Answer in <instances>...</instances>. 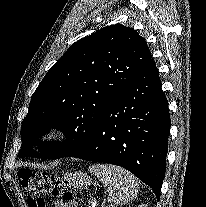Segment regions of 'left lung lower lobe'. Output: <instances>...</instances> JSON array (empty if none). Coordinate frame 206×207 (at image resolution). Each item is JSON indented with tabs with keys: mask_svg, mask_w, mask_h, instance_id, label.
Wrapping results in <instances>:
<instances>
[{
	"mask_svg": "<svg viewBox=\"0 0 206 207\" xmlns=\"http://www.w3.org/2000/svg\"><path fill=\"white\" fill-rule=\"evenodd\" d=\"M170 124L168 101L151 59L107 107L89 144L67 157L121 166L159 200Z\"/></svg>",
	"mask_w": 206,
	"mask_h": 207,
	"instance_id": "1",
	"label": "left lung lower lobe"
}]
</instances>
